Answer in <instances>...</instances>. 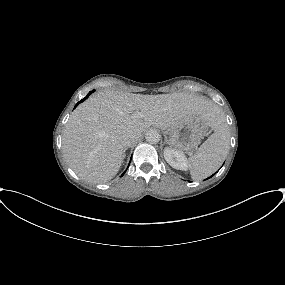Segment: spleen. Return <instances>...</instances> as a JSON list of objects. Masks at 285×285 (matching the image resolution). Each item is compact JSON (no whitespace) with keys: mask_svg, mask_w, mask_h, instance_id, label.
<instances>
[{"mask_svg":"<svg viewBox=\"0 0 285 285\" xmlns=\"http://www.w3.org/2000/svg\"><path fill=\"white\" fill-rule=\"evenodd\" d=\"M214 133L200 146L188 160L192 179L201 180L214 173L225 159L230 146L228 125L218 111L217 120L212 125Z\"/></svg>","mask_w":285,"mask_h":285,"instance_id":"3e777b00","label":"spleen"}]
</instances>
